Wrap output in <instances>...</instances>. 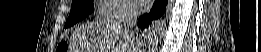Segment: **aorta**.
I'll use <instances>...</instances> for the list:
<instances>
[{
    "label": "aorta",
    "mask_w": 261,
    "mask_h": 52,
    "mask_svg": "<svg viewBox=\"0 0 261 52\" xmlns=\"http://www.w3.org/2000/svg\"><path fill=\"white\" fill-rule=\"evenodd\" d=\"M164 25L165 22L163 20L158 21L146 30L144 40L147 47L145 48V50L151 52L156 49L158 41L163 34Z\"/></svg>",
    "instance_id": "1"
}]
</instances>
